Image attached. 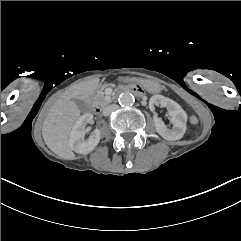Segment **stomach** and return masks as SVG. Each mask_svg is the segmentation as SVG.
Instances as JSON below:
<instances>
[{"instance_id": "0dacf381", "label": "stomach", "mask_w": 241, "mask_h": 241, "mask_svg": "<svg viewBox=\"0 0 241 241\" xmlns=\"http://www.w3.org/2000/svg\"><path fill=\"white\" fill-rule=\"evenodd\" d=\"M130 81L139 83L142 87H144L150 93H158L162 90V86L156 82L148 79H131Z\"/></svg>"}]
</instances>
